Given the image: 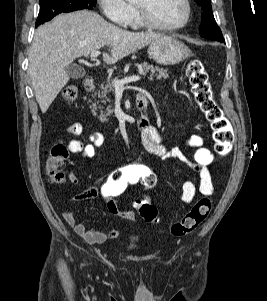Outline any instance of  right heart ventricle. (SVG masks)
<instances>
[{
	"mask_svg": "<svg viewBox=\"0 0 267 301\" xmlns=\"http://www.w3.org/2000/svg\"><path fill=\"white\" fill-rule=\"evenodd\" d=\"M130 24L133 28H141L143 26L138 19L136 11H134V16Z\"/></svg>",
	"mask_w": 267,
	"mask_h": 301,
	"instance_id": "e07e8e85",
	"label": "right heart ventricle"
}]
</instances>
